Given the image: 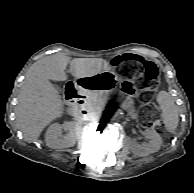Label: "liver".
I'll return each instance as SVG.
<instances>
[{
  "label": "liver",
  "instance_id": "1",
  "mask_svg": "<svg viewBox=\"0 0 194 193\" xmlns=\"http://www.w3.org/2000/svg\"><path fill=\"white\" fill-rule=\"evenodd\" d=\"M75 77L94 75L110 69L102 58H74L53 54L35 62L27 71L19 94L17 123L27 142L37 141L43 129L64 113L58 90L49 80L65 81V69Z\"/></svg>",
  "mask_w": 194,
  "mask_h": 193
}]
</instances>
